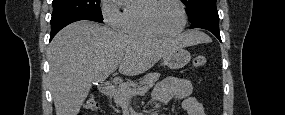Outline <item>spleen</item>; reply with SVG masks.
Returning <instances> with one entry per match:
<instances>
[{"label":"spleen","mask_w":285,"mask_h":115,"mask_svg":"<svg viewBox=\"0 0 285 115\" xmlns=\"http://www.w3.org/2000/svg\"><path fill=\"white\" fill-rule=\"evenodd\" d=\"M199 36L201 41H208V37L204 33L199 32Z\"/></svg>","instance_id":"3e777b00"}]
</instances>
